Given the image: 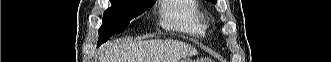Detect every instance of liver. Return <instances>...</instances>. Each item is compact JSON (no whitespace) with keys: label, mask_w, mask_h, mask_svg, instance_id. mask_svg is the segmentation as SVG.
Here are the masks:
<instances>
[{"label":"liver","mask_w":331,"mask_h":62,"mask_svg":"<svg viewBox=\"0 0 331 62\" xmlns=\"http://www.w3.org/2000/svg\"><path fill=\"white\" fill-rule=\"evenodd\" d=\"M101 62H179L196 54L191 45L176 40H145L126 43L123 40L108 44Z\"/></svg>","instance_id":"obj_1"}]
</instances>
